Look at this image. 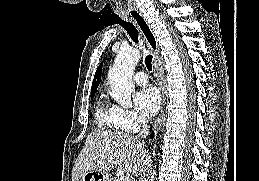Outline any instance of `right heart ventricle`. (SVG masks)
Returning a JSON list of instances; mask_svg holds the SVG:
<instances>
[{
    "mask_svg": "<svg viewBox=\"0 0 259 181\" xmlns=\"http://www.w3.org/2000/svg\"><path fill=\"white\" fill-rule=\"evenodd\" d=\"M95 117L97 124L101 127L121 129L113 119L111 108H107L102 102H100L96 108Z\"/></svg>",
    "mask_w": 259,
    "mask_h": 181,
    "instance_id": "right-heart-ventricle-1",
    "label": "right heart ventricle"
}]
</instances>
